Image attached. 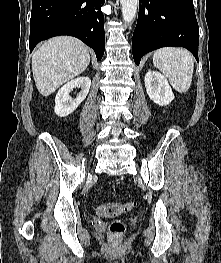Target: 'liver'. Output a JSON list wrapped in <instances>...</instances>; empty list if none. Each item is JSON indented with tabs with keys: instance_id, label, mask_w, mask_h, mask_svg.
Listing matches in <instances>:
<instances>
[{
	"instance_id": "1",
	"label": "liver",
	"mask_w": 221,
	"mask_h": 263,
	"mask_svg": "<svg viewBox=\"0 0 221 263\" xmlns=\"http://www.w3.org/2000/svg\"><path fill=\"white\" fill-rule=\"evenodd\" d=\"M90 63L86 45L74 37L60 36L43 43L32 55V71L42 96L85 71Z\"/></svg>"
}]
</instances>
